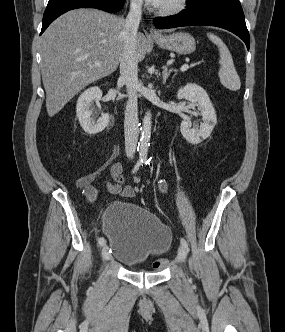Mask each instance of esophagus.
Segmentation results:
<instances>
[{
  "label": "esophagus",
  "instance_id": "esophagus-1",
  "mask_svg": "<svg viewBox=\"0 0 285 332\" xmlns=\"http://www.w3.org/2000/svg\"><path fill=\"white\" fill-rule=\"evenodd\" d=\"M149 34L153 38L161 36L160 32L156 28H154L153 26L150 28Z\"/></svg>",
  "mask_w": 285,
  "mask_h": 332
}]
</instances>
